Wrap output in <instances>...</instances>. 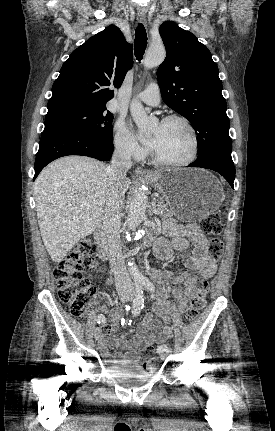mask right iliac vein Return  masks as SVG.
I'll use <instances>...</instances> for the list:
<instances>
[{
  "label": "right iliac vein",
  "instance_id": "obj_1",
  "mask_svg": "<svg viewBox=\"0 0 275 431\" xmlns=\"http://www.w3.org/2000/svg\"><path fill=\"white\" fill-rule=\"evenodd\" d=\"M119 297L123 303H126L132 299V296L129 294H126V293H120ZM100 336H101V330H100V328H96L95 333H94L95 340H99Z\"/></svg>",
  "mask_w": 275,
  "mask_h": 431
}]
</instances>
